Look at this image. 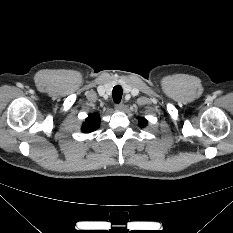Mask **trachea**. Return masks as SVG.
I'll return each mask as SVG.
<instances>
[{
	"label": "trachea",
	"instance_id": "obj_1",
	"mask_svg": "<svg viewBox=\"0 0 233 233\" xmlns=\"http://www.w3.org/2000/svg\"><path fill=\"white\" fill-rule=\"evenodd\" d=\"M122 87L121 86H115L113 88V100L115 103H120L121 98H122Z\"/></svg>",
	"mask_w": 233,
	"mask_h": 233
}]
</instances>
